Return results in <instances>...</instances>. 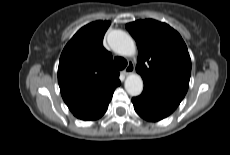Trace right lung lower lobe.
<instances>
[{
	"label": "right lung lower lobe",
	"mask_w": 230,
	"mask_h": 155,
	"mask_svg": "<svg viewBox=\"0 0 230 155\" xmlns=\"http://www.w3.org/2000/svg\"><path fill=\"white\" fill-rule=\"evenodd\" d=\"M107 108H108V106L105 107L101 112H99V113H97V114H95L93 116H90L88 118L82 119V120H87V121L96 120V119H98V118H100V117H102L104 115V113L106 112Z\"/></svg>",
	"instance_id": "right-lung-lower-lobe-1"
}]
</instances>
